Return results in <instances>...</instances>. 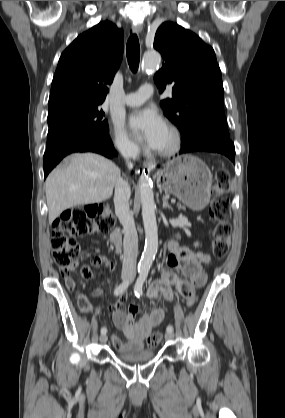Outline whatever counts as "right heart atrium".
I'll return each instance as SVG.
<instances>
[{
    "instance_id": "right-heart-atrium-1",
    "label": "right heart atrium",
    "mask_w": 285,
    "mask_h": 418,
    "mask_svg": "<svg viewBox=\"0 0 285 418\" xmlns=\"http://www.w3.org/2000/svg\"><path fill=\"white\" fill-rule=\"evenodd\" d=\"M111 140L116 150L123 156H134L137 153V146L131 141L123 129H114Z\"/></svg>"
}]
</instances>
